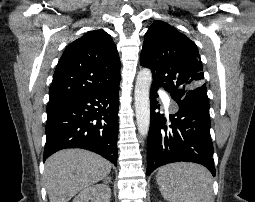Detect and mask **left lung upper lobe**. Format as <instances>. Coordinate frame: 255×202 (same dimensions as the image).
I'll use <instances>...</instances> for the list:
<instances>
[{
    "label": "left lung upper lobe",
    "instance_id": "left-lung-upper-lobe-1",
    "mask_svg": "<svg viewBox=\"0 0 255 202\" xmlns=\"http://www.w3.org/2000/svg\"><path fill=\"white\" fill-rule=\"evenodd\" d=\"M140 63L152 71L151 88L163 87L175 101L209 108L197 46L173 26L153 22L145 34Z\"/></svg>",
    "mask_w": 255,
    "mask_h": 202
}]
</instances>
